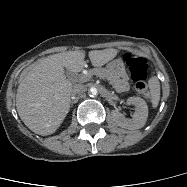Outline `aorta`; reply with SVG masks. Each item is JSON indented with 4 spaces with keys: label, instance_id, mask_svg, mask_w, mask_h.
<instances>
[{
    "label": "aorta",
    "instance_id": "762f6f07",
    "mask_svg": "<svg viewBox=\"0 0 187 187\" xmlns=\"http://www.w3.org/2000/svg\"><path fill=\"white\" fill-rule=\"evenodd\" d=\"M90 93H91L92 95H96V94H97V89H96L95 87H92V88L90 89Z\"/></svg>",
    "mask_w": 187,
    "mask_h": 187
}]
</instances>
